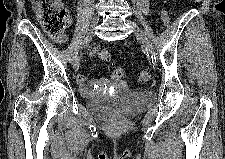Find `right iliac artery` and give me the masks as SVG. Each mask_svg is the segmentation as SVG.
<instances>
[{"instance_id":"obj_1","label":"right iliac artery","mask_w":225,"mask_h":159,"mask_svg":"<svg viewBox=\"0 0 225 159\" xmlns=\"http://www.w3.org/2000/svg\"><path fill=\"white\" fill-rule=\"evenodd\" d=\"M91 39H92V36L88 35L87 37L84 38V40L81 42V44L83 46H87L89 44V42L91 41ZM78 49H79V47H78ZM78 49H76V51L74 52L72 60H74L77 57Z\"/></svg>"}]
</instances>
